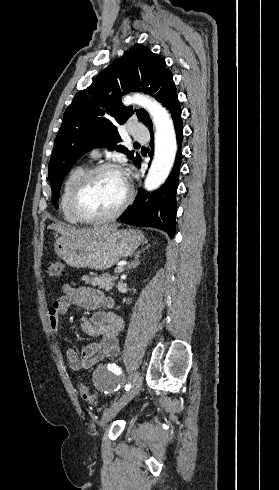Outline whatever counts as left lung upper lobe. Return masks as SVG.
I'll use <instances>...</instances> for the list:
<instances>
[{"label": "left lung upper lobe", "mask_w": 279, "mask_h": 490, "mask_svg": "<svg viewBox=\"0 0 279 490\" xmlns=\"http://www.w3.org/2000/svg\"><path fill=\"white\" fill-rule=\"evenodd\" d=\"M144 91L153 95L168 107L176 95V86L171 71L160 55L149 48L135 45L107 68L102 70L93 83L78 92L63 115V123L55 139L49 162V180L52 201L57 207L62 180L73 164L95 147L117 149L134 157L122 145L117 124H124L134 113L120 101L122 94ZM138 119L146 126L151 124L143 109L135 110Z\"/></svg>", "instance_id": "obj_1"}]
</instances>
